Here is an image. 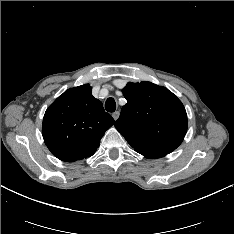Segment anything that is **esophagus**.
<instances>
[{
	"label": "esophagus",
	"instance_id": "esophagus-1",
	"mask_svg": "<svg viewBox=\"0 0 234 234\" xmlns=\"http://www.w3.org/2000/svg\"><path fill=\"white\" fill-rule=\"evenodd\" d=\"M119 115H120L119 111H115L114 113H112V117L115 121L118 119Z\"/></svg>",
	"mask_w": 234,
	"mask_h": 234
}]
</instances>
